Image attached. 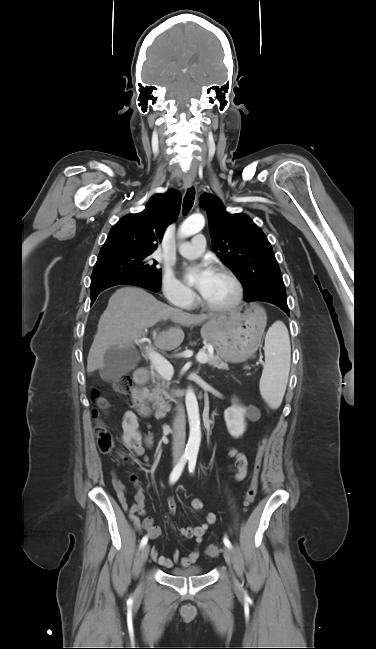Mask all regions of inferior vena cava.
Returning <instances> with one entry per match:
<instances>
[{
	"instance_id": "1",
	"label": "inferior vena cava",
	"mask_w": 376,
	"mask_h": 649,
	"mask_svg": "<svg viewBox=\"0 0 376 649\" xmlns=\"http://www.w3.org/2000/svg\"><path fill=\"white\" fill-rule=\"evenodd\" d=\"M174 429L175 434L172 443V452L173 455L180 457L183 454L185 445V421L183 419L177 420Z\"/></svg>"
}]
</instances>
